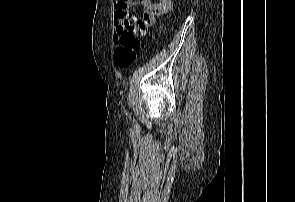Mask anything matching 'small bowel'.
Segmentation results:
<instances>
[{
  "instance_id": "small-bowel-1",
  "label": "small bowel",
  "mask_w": 295,
  "mask_h": 202,
  "mask_svg": "<svg viewBox=\"0 0 295 202\" xmlns=\"http://www.w3.org/2000/svg\"><path fill=\"white\" fill-rule=\"evenodd\" d=\"M171 0H158L157 3L151 0H115L114 4V39L117 40L120 34L129 26H135L142 29L154 24L156 15L166 14L172 10ZM139 8L143 11L141 20L132 9Z\"/></svg>"
}]
</instances>
